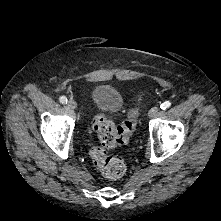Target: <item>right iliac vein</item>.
<instances>
[{"label": "right iliac vein", "mask_w": 221, "mask_h": 221, "mask_svg": "<svg viewBox=\"0 0 221 221\" xmlns=\"http://www.w3.org/2000/svg\"><path fill=\"white\" fill-rule=\"evenodd\" d=\"M67 105L70 109H76L77 108V103H76L75 100H69Z\"/></svg>", "instance_id": "1"}]
</instances>
